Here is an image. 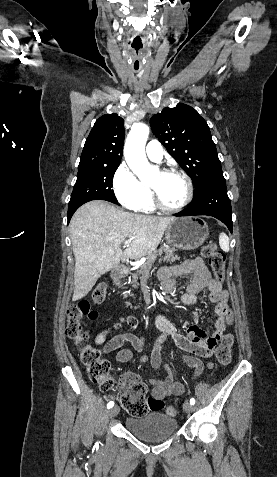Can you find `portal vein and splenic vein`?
<instances>
[{
	"mask_svg": "<svg viewBox=\"0 0 277 477\" xmlns=\"http://www.w3.org/2000/svg\"><path fill=\"white\" fill-rule=\"evenodd\" d=\"M133 238H130L124 242V247H128Z\"/></svg>",
	"mask_w": 277,
	"mask_h": 477,
	"instance_id": "obj_1",
	"label": "portal vein and splenic vein"
}]
</instances>
